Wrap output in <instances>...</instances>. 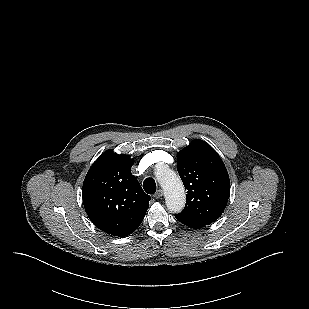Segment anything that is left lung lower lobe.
<instances>
[{"instance_id": "0a47b994", "label": "left lung lower lobe", "mask_w": 309, "mask_h": 309, "mask_svg": "<svg viewBox=\"0 0 309 309\" xmlns=\"http://www.w3.org/2000/svg\"><path fill=\"white\" fill-rule=\"evenodd\" d=\"M181 223H183L184 225H187V226H189V227H192V228H201V227H203V226H200V225H198V224H193V223H191V222H189V221H186V220H181V219H178Z\"/></svg>"}]
</instances>
